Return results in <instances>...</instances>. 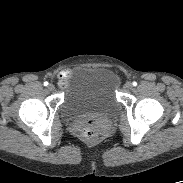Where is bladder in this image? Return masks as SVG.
Masks as SVG:
<instances>
[{
	"instance_id": "bladder-1",
	"label": "bladder",
	"mask_w": 183,
	"mask_h": 183,
	"mask_svg": "<svg viewBox=\"0 0 183 183\" xmlns=\"http://www.w3.org/2000/svg\"><path fill=\"white\" fill-rule=\"evenodd\" d=\"M119 108L115 82L106 69L86 68L80 71L66 89L61 105L63 116L75 120L89 115H114Z\"/></svg>"
}]
</instances>
